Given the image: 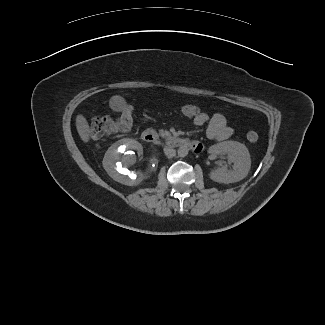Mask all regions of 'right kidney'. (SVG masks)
Wrapping results in <instances>:
<instances>
[{"mask_svg":"<svg viewBox=\"0 0 325 325\" xmlns=\"http://www.w3.org/2000/svg\"><path fill=\"white\" fill-rule=\"evenodd\" d=\"M103 167L115 181L128 186L139 185L150 173L144 162L142 145L129 138L108 148L103 158ZM132 167L133 170L130 171Z\"/></svg>","mask_w":325,"mask_h":325,"instance_id":"right-kidney-1","label":"right kidney"}]
</instances>
